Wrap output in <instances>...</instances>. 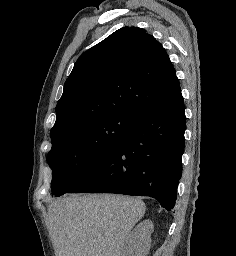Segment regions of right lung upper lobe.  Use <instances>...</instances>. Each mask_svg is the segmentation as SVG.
I'll use <instances>...</instances> for the list:
<instances>
[{"mask_svg": "<svg viewBox=\"0 0 236 256\" xmlns=\"http://www.w3.org/2000/svg\"><path fill=\"white\" fill-rule=\"evenodd\" d=\"M180 91L162 45L142 28H121L75 63L56 106L50 135L112 114L139 119Z\"/></svg>", "mask_w": 236, "mask_h": 256, "instance_id": "1", "label": "right lung upper lobe"}]
</instances>
